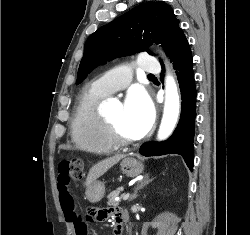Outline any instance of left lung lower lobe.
I'll list each match as a JSON object with an SVG mask.
<instances>
[{
	"label": "left lung lower lobe",
	"instance_id": "1",
	"mask_svg": "<svg viewBox=\"0 0 250 235\" xmlns=\"http://www.w3.org/2000/svg\"><path fill=\"white\" fill-rule=\"evenodd\" d=\"M168 56L173 61L181 90L182 109L179 124L168 140L159 143L147 142L140 147V153L144 156L179 154L192 171L197 92L192 67V53L182 29Z\"/></svg>",
	"mask_w": 250,
	"mask_h": 235
}]
</instances>
